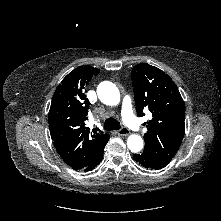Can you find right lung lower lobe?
<instances>
[{
  "instance_id": "98d812e1",
  "label": "right lung lower lobe",
  "mask_w": 221,
  "mask_h": 221,
  "mask_svg": "<svg viewBox=\"0 0 221 221\" xmlns=\"http://www.w3.org/2000/svg\"><path fill=\"white\" fill-rule=\"evenodd\" d=\"M104 147L101 149V151L98 154V156L96 157V159L89 166H87L86 168L83 169L85 172L93 170L101 162V160L103 158Z\"/></svg>"
}]
</instances>
